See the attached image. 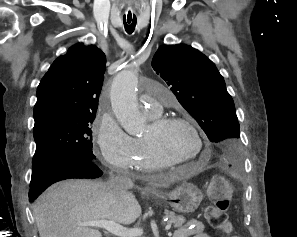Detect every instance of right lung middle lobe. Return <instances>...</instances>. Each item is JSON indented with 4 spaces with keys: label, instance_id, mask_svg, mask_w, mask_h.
<instances>
[{
    "label": "right lung middle lobe",
    "instance_id": "obj_1",
    "mask_svg": "<svg viewBox=\"0 0 297 237\" xmlns=\"http://www.w3.org/2000/svg\"><path fill=\"white\" fill-rule=\"evenodd\" d=\"M96 114L52 115L35 123L33 134L36 151L33 168L59 154H78L95 158L92 152L91 124Z\"/></svg>",
    "mask_w": 297,
    "mask_h": 237
}]
</instances>
